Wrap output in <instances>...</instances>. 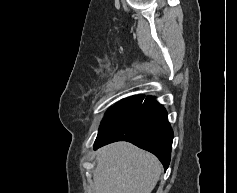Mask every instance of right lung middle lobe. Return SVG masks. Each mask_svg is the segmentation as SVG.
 I'll list each match as a JSON object with an SVG mask.
<instances>
[{"label": "right lung middle lobe", "instance_id": "1", "mask_svg": "<svg viewBox=\"0 0 237 193\" xmlns=\"http://www.w3.org/2000/svg\"><path fill=\"white\" fill-rule=\"evenodd\" d=\"M124 100V99H123ZM123 100H121V101H123ZM121 101H119L118 103H120ZM118 103H116V104H118Z\"/></svg>", "mask_w": 237, "mask_h": 193}]
</instances>
